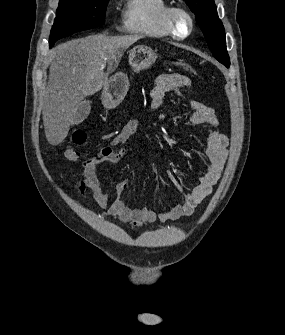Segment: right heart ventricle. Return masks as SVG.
Listing matches in <instances>:
<instances>
[{"instance_id": "e07e8e85", "label": "right heart ventricle", "mask_w": 285, "mask_h": 335, "mask_svg": "<svg viewBox=\"0 0 285 335\" xmlns=\"http://www.w3.org/2000/svg\"><path fill=\"white\" fill-rule=\"evenodd\" d=\"M130 25L141 37L165 39L171 35L173 9L168 1H134Z\"/></svg>"}]
</instances>
